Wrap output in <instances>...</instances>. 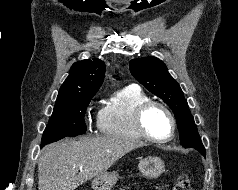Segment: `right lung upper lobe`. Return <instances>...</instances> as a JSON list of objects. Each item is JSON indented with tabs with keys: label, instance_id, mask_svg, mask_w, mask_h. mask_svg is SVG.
<instances>
[{
	"label": "right lung upper lobe",
	"instance_id": "right-lung-upper-lobe-1",
	"mask_svg": "<svg viewBox=\"0 0 238 190\" xmlns=\"http://www.w3.org/2000/svg\"><path fill=\"white\" fill-rule=\"evenodd\" d=\"M105 72V64L99 59H87L74 63L69 76L60 87L56 102L74 98L80 94H96Z\"/></svg>",
	"mask_w": 238,
	"mask_h": 190
}]
</instances>
